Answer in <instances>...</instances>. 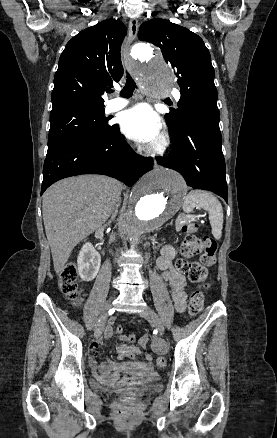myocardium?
<instances>
[{"label":"myocardium","mask_w":277,"mask_h":438,"mask_svg":"<svg viewBox=\"0 0 277 438\" xmlns=\"http://www.w3.org/2000/svg\"><path fill=\"white\" fill-rule=\"evenodd\" d=\"M128 50H130V47ZM167 146H168V139L166 136H162L158 141V143L151 150V152L157 155L162 154Z\"/></svg>","instance_id":"1"}]
</instances>
